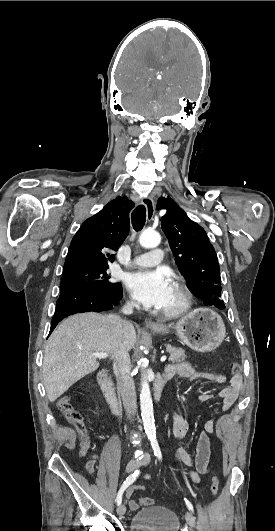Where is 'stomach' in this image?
I'll list each match as a JSON object with an SVG mask.
<instances>
[{
	"instance_id": "stomach-1",
	"label": "stomach",
	"mask_w": 275,
	"mask_h": 531,
	"mask_svg": "<svg viewBox=\"0 0 275 531\" xmlns=\"http://www.w3.org/2000/svg\"><path fill=\"white\" fill-rule=\"evenodd\" d=\"M160 327L152 329L159 335H169L174 329L175 335L183 341L184 345L198 351L210 353L217 349L224 341L226 335L225 325L218 313L211 309H194L181 317L177 323L166 325L165 321L158 323Z\"/></svg>"
}]
</instances>
